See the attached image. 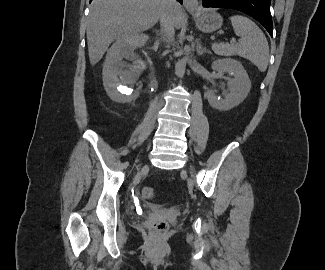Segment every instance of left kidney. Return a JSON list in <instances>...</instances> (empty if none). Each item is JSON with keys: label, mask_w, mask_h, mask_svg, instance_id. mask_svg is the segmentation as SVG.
Returning <instances> with one entry per match:
<instances>
[{"label": "left kidney", "mask_w": 325, "mask_h": 270, "mask_svg": "<svg viewBox=\"0 0 325 270\" xmlns=\"http://www.w3.org/2000/svg\"><path fill=\"white\" fill-rule=\"evenodd\" d=\"M211 67L219 74L229 73L233 78L228 82V92L223 99L218 98L213 89L207 90L205 96L210 106L220 111H228L242 103L251 89V81L242 64L226 58L215 60Z\"/></svg>", "instance_id": "5707ae66"}]
</instances>
